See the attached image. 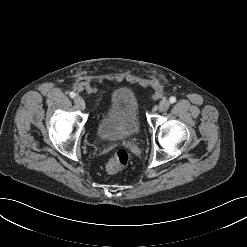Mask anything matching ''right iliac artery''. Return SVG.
I'll use <instances>...</instances> for the list:
<instances>
[{"mask_svg":"<svg viewBox=\"0 0 247 247\" xmlns=\"http://www.w3.org/2000/svg\"><path fill=\"white\" fill-rule=\"evenodd\" d=\"M69 95L71 98H74L76 96V94L74 92H70Z\"/></svg>","mask_w":247,"mask_h":247,"instance_id":"right-iliac-artery-1","label":"right iliac artery"}]
</instances>
